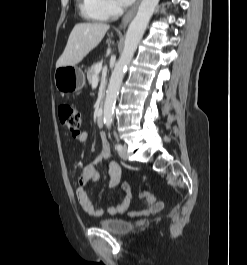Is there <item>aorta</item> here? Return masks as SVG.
<instances>
[{"instance_id": "1", "label": "aorta", "mask_w": 247, "mask_h": 265, "mask_svg": "<svg viewBox=\"0 0 247 265\" xmlns=\"http://www.w3.org/2000/svg\"><path fill=\"white\" fill-rule=\"evenodd\" d=\"M159 0H142L138 11L130 23L124 43V49L115 65L108 85L106 99L104 103L103 121L106 125H111L116 99L120 86L127 69L131 62L138 43L142 39L147 25L153 15Z\"/></svg>"}]
</instances>
